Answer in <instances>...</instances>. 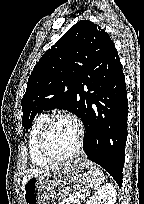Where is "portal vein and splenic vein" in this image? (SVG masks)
<instances>
[{"mask_svg": "<svg viewBox=\"0 0 144 204\" xmlns=\"http://www.w3.org/2000/svg\"><path fill=\"white\" fill-rule=\"evenodd\" d=\"M77 204H79V200H77Z\"/></svg>", "mask_w": 144, "mask_h": 204, "instance_id": "portal-vein-and-splenic-vein-1", "label": "portal vein and splenic vein"}]
</instances>
